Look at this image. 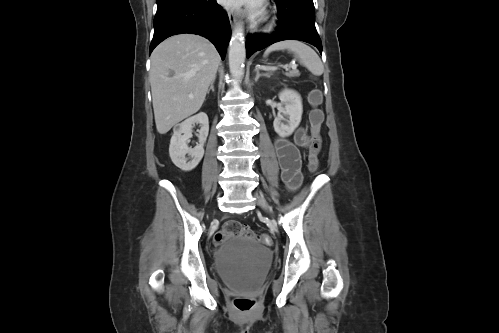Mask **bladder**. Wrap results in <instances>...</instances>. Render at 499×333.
<instances>
[{"label":"bladder","mask_w":499,"mask_h":333,"mask_svg":"<svg viewBox=\"0 0 499 333\" xmlns=\"http://www.w3.org/2000/svg\"><path fill=\"white\" fill-rule=\"evenodd\" d=\"M272 250L249 238L229 237L217 249L214 263L232 287L247 292L255 288L271 264Z\"/></svg>","instance_id":"obj_1"}]
</instances>
